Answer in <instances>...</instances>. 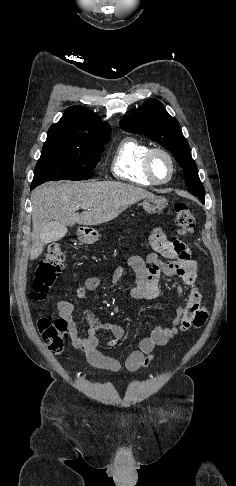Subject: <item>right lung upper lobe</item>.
<instances>
[{"mask_svg":"<svg viewBox=\"0 0 236 486\" xmlns=\"http://www.w3.org/2000/svg\"><path fill=\"white\" fill-rule=\"evenodd\" d=\"M109 133V125L102 123L95 113L83 106H71L65 110L59 122L49 128L47 134L98 141L109 137Z\"/></svg>","mask_w":236,"mask_h":486,"instance_id":"1","label":"right lung upper lobe"}]
</instances>
